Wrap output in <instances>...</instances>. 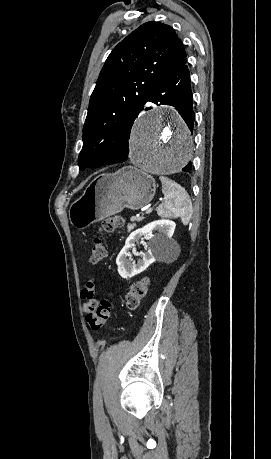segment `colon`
<instances>
[{"label":"colon","mask_w":271,"mask_h":459,"mask_svg":"<svg viewBox=\"0 0 271 459\" xmlns=\"http://www.w3.org/2000/svg\"><path fill=\"white\" fill-rule=\"evenodd\" d=\"M124 223V218L120 215H113L104 219L99 225L100 233L114 232ZM106 256V248L100 237L94 238L90 252V262L100 263ZM149 287V280L142 278L135 281L125 295V304L129 309H136L143 298L146 296ZM111 304L107 299L98 301L92 298L87 306L86 320L94 330L101 329L110 316Z\"/></svg>","instance_id":"colon-1"}]
</instances>
